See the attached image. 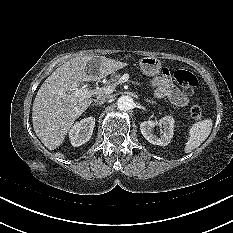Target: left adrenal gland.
Segmentation results:
<instances>
[{"instance_id": "a2214340", "label": "left adrenal gland", "mask_w": 233, "mask_h": 233, "mask_svg": "<svg viewBox=\"0 0 233 233\" xmlns=\"http://www.w3.org/2000/svg\"><path fill=\"white\" fill-rule=\"evenodd\" d=\"M145 101L148 102V103H151V104H156V102L150 101V100H148V99H146Z\"/></svg>"}]
</instances>
